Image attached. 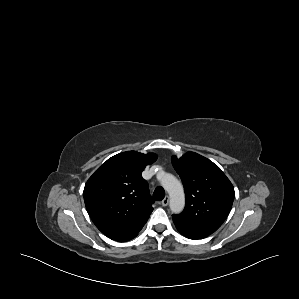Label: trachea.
Returning a JSON list of instances; mask_svg holds the SVG:
<instances>
[{
    "mask_svg": "<svg viewBox=\"0 0 299 299\" xmlns=\"http://www.w3.org/2000/svg\"><path fill=\"white\" fill-rule=\"evenodd\" d=\"M153 197L156 201H161L164 199L165 197V191L163 188L161 187H157L155 190H154V193H153Z\"/></svg>",
    "mask_w": 299,
    "mask_h": 299,
    "instance_id": "trachea-1",
    "label": "trachea"
}]
</instances>
